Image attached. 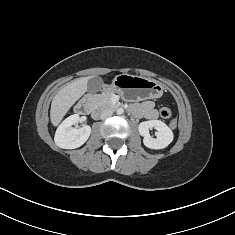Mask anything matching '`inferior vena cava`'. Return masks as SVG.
Returning a JSON list of instances; mask_svg holds the SVG:
<instances>
[{"label":"inferior vena cava","instance_id":"1","mask_svg":"<svg viewBox=\"0 0 235 235\" xmlns=\"http://www.w3.org/2000/svg\"><path fill=\"white\" fill-rule=\"evenodd\" d=\"M112 114H113V111L111 109H105L101 112L100 118L103 120V119L111 117Z\"/></svg>","mask_w":235,"mask_h":235}]
</instances>
